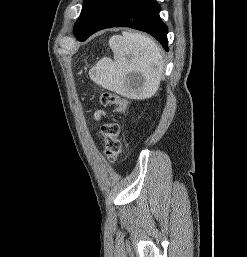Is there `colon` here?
<instances>
[{"label": "colon", "mask_w": 247, "mask_h": 257, "mask_svg": "<svg viewBox=\"0 0 247 257\" xmlns=\"http://www.w3.org/2000/svg\"><path fill=\"white\" fill-rule=\"evenodd\" d=\"M100 101L103 105L113 106V114L110 119L101 126L104 136V152L110 162H115L121 154V141L119 138L120 125L118 118L125 114L127 100L123 97L105 92L101 95Z\"/></svg>", "instance_id": "colon-1"}]
</instances>
